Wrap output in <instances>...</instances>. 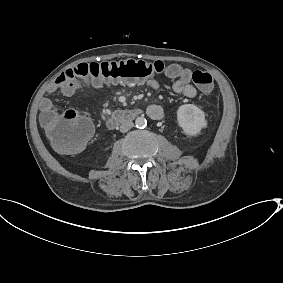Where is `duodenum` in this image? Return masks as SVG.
<instances>
[{"label":"duodenum","instance_id":"410a0bca","mask_svg":"<svg viewBox=\"0 0 283 283\" xmlns=\"http://www.w3.org/2000/svg\"><path fill=\"white\" fill-rule=\"evenodd\" d=\"M142 114V110L133 108L124 111H114L107 119L106 125L110 130H114L121 124L133 120Z\"/></svg>","mask_w":283,"mask_h":283}]
</instances>
